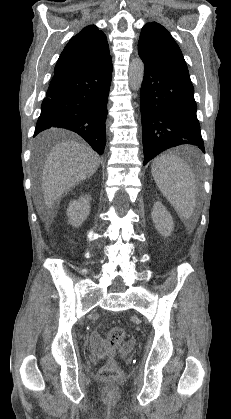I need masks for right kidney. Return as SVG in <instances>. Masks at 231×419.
Instances as JSON below:
<instances>
[{
    "mask_svg": "<svg viewBox=\"0 0 231 419\" xmlns=\"http://www.w3.org/2000/svg\"><path fill=\"white\" fill-rule=\"evenodd\" d=\"M90 196H81L78 200L71 201L67 208L68 223L79 227L90 214Z\"/></svg>",
    "mask_w": 231,
    "mask_h": 419,
    "instance_id": "ca27d5eb",
    "label": "right kidney"
}]
</instances>
